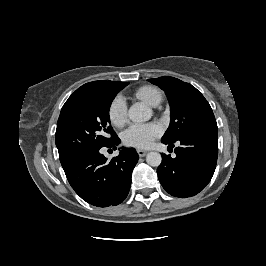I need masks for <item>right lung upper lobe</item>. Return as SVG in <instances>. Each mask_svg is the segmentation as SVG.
Returning <instances> with one entry per match:
<instances>
[{"label": "right lung upper lobe", "instance_id": "cb5924a9", "mask_svg": "<svg viewBox=\"0 0 266 266\" xmlns=\"http://www.w3.org/2000/svg\"><path fill=\"white\" fill-rule=\"evenodd\" d=\"M108 81H93V82H89V83H86L84 85H82L80 88H78L70 97L68 100L70 99H73L75 97H78V96H81V95H84V94H87L89 93L90 91L98 88L99 86H101L102 84L106 83ZM67 167V166H66ZM66 167H63V168H66Z\"/></svg>", "mask_w": 266, "mask_h": 266}]
</instances>
